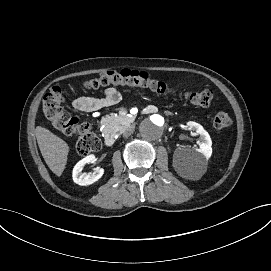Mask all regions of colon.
<instances>
[{
    "instance_id": "1",
    "label": "colon",
    "mask_w": 271,
    "mask_h": 271,
    "mask_svg": "<svg viewBox=\"0 0 271 271\" xmlns=\"http://www.w3.org/2000/svg\"><path fill=\"white\" fill-rule=\"evenodd\" d=\"M110 85L136 86L158 94H178L195 106L207 107L211 104L213 93L209 89L201 91L177 90L166 83L152 78L147 72L124 69L120 72L101 73L84 83L89 89H97ZM64 94L61 88L54 87L42 99L41 108L52 128L65 135H78L76 151L86 156L100 148V140L90 125L81 123L76 117L64 110ZM232 125L231 117L219 112L213 119V127L217 131H225Z\"/></svg>"
}]
</instances>
